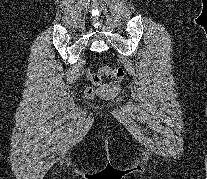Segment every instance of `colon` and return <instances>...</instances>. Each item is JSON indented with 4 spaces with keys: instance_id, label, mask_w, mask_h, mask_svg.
Instances as JSON below:
<instances>
[{
    "instance_id": "1",
    "label": "colon",
    "mask_w": 207,
    "mask_h": 179,
    "mask_svg": "<svg viewBox=\"0 0 207 179\" xmlns=\"http://www.w3.org/2000/svg\"><path fill=\"white\" fill-rule=\"evenodd\" d=\"M102 76L109 77L118 82L124 79L125 71L121 67H103L99 73H89L88 79L91 85L85 89V96L87 98H93L102 90Z\"/></svg>"
}]
</instances>
